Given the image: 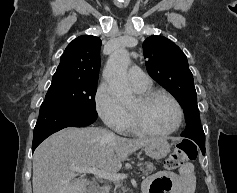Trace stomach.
Wrapping results in <instances>:
<instances>
[{"label":"stomach","mask_w":237,"mask_h":193,"mask_svg":"<svg viewBox=\"0 0 237 193\" xmlns=\"http://www.w3.org/2000/svg\"><path fill=\"white\" fill-rule=\"evenodd\" d=\"M147 156L159 160L165 158L170 152V145L163 138H155L153 141L146 144L143 148Z\"/></svg>","instance_id":"1"}]
</instances>
